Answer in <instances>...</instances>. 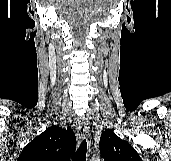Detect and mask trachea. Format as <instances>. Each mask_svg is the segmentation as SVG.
<instances>
[{"instance_id":"trachea-1","label":"trachea","mask_w":171,"mask_h":161,"mask_svg":"<svg viewBox=\"0 0 171 161\" xmlns=\"http://www.w3.org/2000/svg\"><path fill=\"white\" fill-rule=\"evenodd\" d=\"M87 143L84 139L74 155L73 161H86Z\"/></svg>"}]
</instances>
